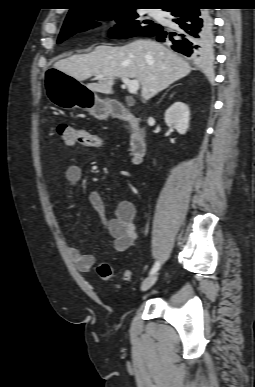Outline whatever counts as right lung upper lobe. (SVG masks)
Masks as SVG:
<instances>
[{
    "label": "right lung upper lobe",
    "mask_w": 255,
    "mask_h": 387,
    "mask_svg": "<svg viewBox=\"0 0 255 387\" xmlns=\"http://www.w3.org/2000/svg\"><path fill=\"white\" fill-rule=\"evenodd\" d=\"M189 0H76L75 6L70 9L66 20H75L82 15L95 10L114 9L117 7H134L139 5H159L163 10L179 2Z\"/></svg>",
    "instance_id": "cb5924a9"
}]
</instances>
